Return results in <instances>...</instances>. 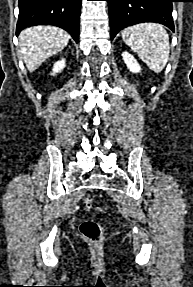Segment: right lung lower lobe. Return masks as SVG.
<instances>
[{
	"label": "right lung lower lobe",
	"mask_w": 193,
	"mask_h": 287,
	"mask_svg": "<svg viewBox=\"0 0 193 287\" xmlns=\"http://www.w3.org/2000/svg\"><path fill=\"white\" fill-rule=\"evenodd\" d=\"M81 1L19 0L16 34L32 25L50 24L66 30L78 43Z\"/></svg>",
	"instance_id": "1"
}]
</instances>
